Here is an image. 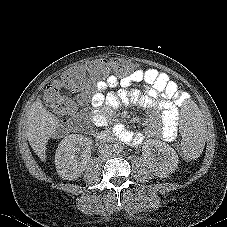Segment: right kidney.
Masks as SVG:
<instances>
[{"mask_svg":"<svg viewBox=\"0 0 227 227\" xmlns=\"http://www.w3.org/2000/svg\"><path fill=\"white\" fill-rule=\"evenodd\" d=\"M91 143L89 138L79 134L68 135L60 142L55 154V165L62 179L74 180L83 174L90 160ZM81 145L85 146V149L78 156Z\"/></svg>","mask_w":227,"mask_h":227,"instance_id":"right-kidney-1","label":"right kidney"}]
</instances>
